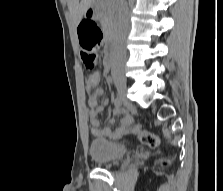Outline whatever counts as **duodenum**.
I'll use <instances>...</instances> for the list:
<instances>
[{"label":"duodenum","mask_w":223,"mask_h":191,"mask_svg":"<svg viewBox=\"0 0 223 191\" xmlns=\"http://www.w3.org/2000/svg\"><path fill=\"white\" fill-rule=\"evenodd\" d=\"M96 15V8L94 6H90L86 9V16L88 18H93ZM112 52H113V42L111 38L107 39L106 43V56L108 59L112 60Z\"/></svg>","instance_id":"1"}]
</instances>
